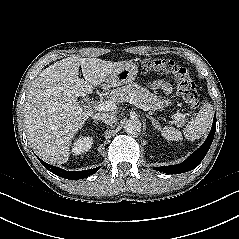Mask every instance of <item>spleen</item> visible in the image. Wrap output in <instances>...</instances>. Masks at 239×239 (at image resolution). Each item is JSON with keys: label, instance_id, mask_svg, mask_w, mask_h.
Listing matches in <instances>:
<instances>
[{"label": "spleen", "instance_id": "3e777b00", "mask_svg": "<svg viewBox=\"0 0 239 239\" xmlns=\"http://www.w3.org/2000/svg\"><path fill=\"white\" fill-rule=\"evenodd\" d=\"M213 114L212 105L205 101L195 119L189 122L184 128V137L190 141H194L203 136L212 123ZM161 134L168 141L182 140V133L173 127L165 126L161 129Z\"/></svg>", "mask_w": 239, "mask_h": 239}]
</instances>
